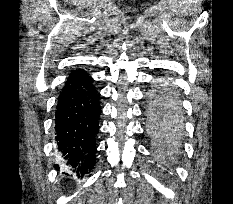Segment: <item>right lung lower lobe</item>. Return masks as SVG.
I'll return each instance as SVG.
<instances>
[{
  "instance_id": "obj_1",
  "label": "right lung lower lobe",
  "mask_w": 233,
  "mask_h": 204,
  "mask_svg": "<svg viewBox=\"0 0 233 204\" xmlns=\"http://www.w3.org/2000/svg\"><path fill=\"white\" fill-rule=\"evenodd\" d=\"M99 97L89 74L75 70L66 80L56 106L57 146L67 165L81 175L95 163V135L101 113Z\"/></svg>"
}]
</instances>
